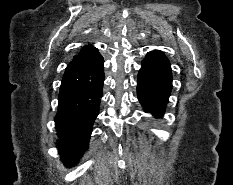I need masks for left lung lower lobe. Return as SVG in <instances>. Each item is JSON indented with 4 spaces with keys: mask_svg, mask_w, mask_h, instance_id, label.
Segmentation results:
<instances>
[{
    "mask_svg": "<svg viewBox=\"0 0 233 185\" xmlns=\"http://www.w3.org/2000/svg\"><path fill=\"white\" fill-rule=\"evenodd\" d=\"M137 94L145 112L161 116L165 112L172 88L171 67L161 51L149 52L138 73Z\"/></svg>",
    "mask_w": 233,
    "mask_h": 185,
    "instance_id": "obj_1",
    "label": "left lung lower lobe"
}]
</instances>
